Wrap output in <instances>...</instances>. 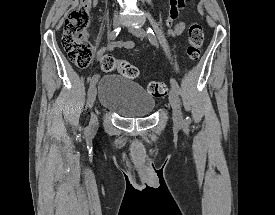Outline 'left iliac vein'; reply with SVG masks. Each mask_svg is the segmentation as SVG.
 <instances>
[{
	"instance_id": "left-iliac-vein-1",
	"label": "left iliac vein",
	"mask_w": 275,
	"mask_h": 215,
	"mask_svg": "<svg viewBox=\"0 0 275 215\" xmlns=\"http://www.w3.org/2000/svg\"><path fill=\"white\" fill-rule=\"evenodd\" d=\"M129 31L139 38H143L145 36V31L141 27H129ZM169 102L173 110L174 126L177 128H181L183 125V117L180 108L178 93L173 87L171 88L169 93Z\"/></svg>"
}]
</instances>
